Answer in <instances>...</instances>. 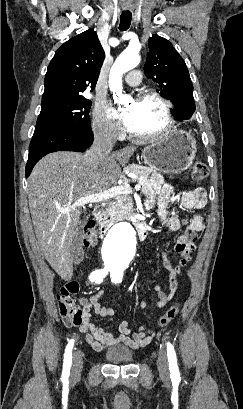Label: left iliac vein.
<instances>
[{
	"label": "left iliac vein",
	"mask_w": 243,
	"mask_h": 409,
	"mask_svg": "<svg viewBox=\"0 0 243 409\" xmlns=\"http://www.w3.org/2000/svg\"><path fill=\"white\" fill-rule=\"evenodd\" d=\"M157 366L159 370L160 377L162 379H167L169 376V365L167 360V355L164 350H161L158 355Z\"/></svg>",
	"instance_id": "4c4485c4"
}]
</instances>
